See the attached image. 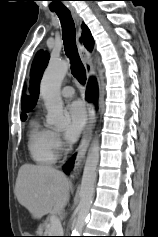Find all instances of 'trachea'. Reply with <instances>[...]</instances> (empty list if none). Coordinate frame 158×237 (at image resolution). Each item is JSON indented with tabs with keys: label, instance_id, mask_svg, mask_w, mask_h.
Masks as SVG:
<instances>
[{
	"label": "trachea",
	"instance_id": "1",
	"mask_svg": "<svg viewBox=\"0 0 158 237\" xmlns=\"http://www.w3.org/2000/svg\"><path fill=\"white\" fill-rule=\"evenodd\" d=\"M58 15L61 26L64 42V50L66 55L71 59L72 75L81 83L86 81V70L82 64L76 46V29L70 11L67 8L54 10Z\"/></svg>",
	"mask_w": 158,
	"mask_h": 237
}]
</instances>
